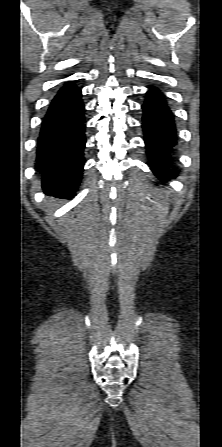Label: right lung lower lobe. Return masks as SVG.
<instances>
[{
    "instance_id": "1",
    "label": "right lung lower lobe",
    "mask_w": 222,
    "mask_h": 447,
    "mask_svg": "<svg viewBox=\"0 0 222 447\" xmlns=\"http://www.w3.org/2000/svg\"><path fill=\"white\" fill-rule=\"evenodd\" d=\"M85 105L81 89L66 82L51 100L41 123L36 167L46 194L70 198L84 167Z\"/></svg>"
}]
</instances>
